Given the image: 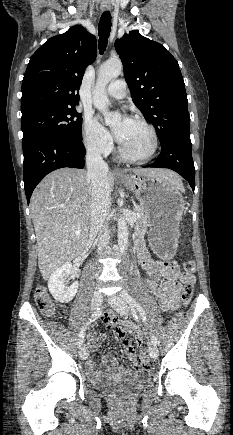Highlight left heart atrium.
Returning <instances> with one entry per match:
<instances>
[{
  "label": "left heart atrium",
  "mask_w": 233,
  "mask_h": 435,
  "mask_svg": "<svg viewBox=\"0 0 233 435\" xmlns=\"http://www.w3.org/2000/svg\"><path fill=\"white\" fill-rule=\"evenodd\" d=\"M130 121V119L128 117H123L120 120V123L118 125V127L116 129H114V134H115V138L117 139V141L120 143L122 136H123V131L125 126L127 125V123Z\"/></svg>",
  "instance_id": "obj_1"
}]
</instances>
